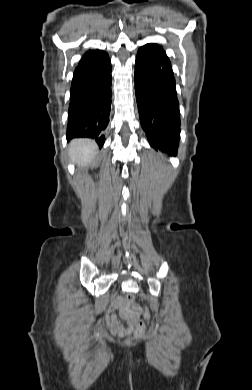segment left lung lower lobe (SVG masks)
<instances>
[{
  "label": "left lung lower lobe",
  "mask_w": 252,
  "mask_h": 390,
  "mask_svg": "<svg viewBox=\"0 0 252 390\" xmlns=\"http://www.w3.org/2000/svg\"><path fill=\"white\" fill-rule=\"evenodd\" d=\"M134 76L140 123L150 145L176 152L180 110L171 62L165 51L155 43L140 47Z\"/></svg>",
  "instance_id": "left-lung-lower-lobe-1"
}]
</instances>
